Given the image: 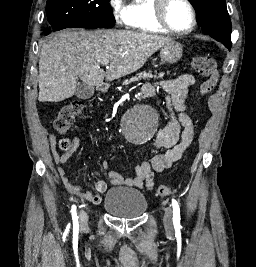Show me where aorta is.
I'll return each instance as SVG.
<instances>
[{
  "label": "aorta",
  "instance_id": "obj_1",
  "mask_svg": "<svg viewBox=\"0 0 256 267\" xmlns=\"http://www.w3.org/2000/svg\"><path fill=\"white\" fill-rule=\"evenodd\" d=\"M156 108H131L130 117H122L124 127H156ZM124 138L128 143H149V138H155L158 128H123Z\"/></svg>",
  "mask_w": 256,
  "mask_h": 267
}]
</instances>
